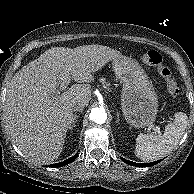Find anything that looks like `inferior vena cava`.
<instances>
[{
	"label": "inferior vena cava",
	"mask_w": 194,
	"mask_h": 194,
	"mask_svg": "<svg viewBox=\"0 0 194 194\" xmlns=\"http://www.w3.org/2000/svg\"><path fill=\"white\" fill-rule=\"evenodd\" d=\"M84 107H85V103H83V102H77V103H74L73 104L72 110L73 111H79V112H81V111H83Z\"/></svg>",
	"instance_id": "1"
}]
</instances>
